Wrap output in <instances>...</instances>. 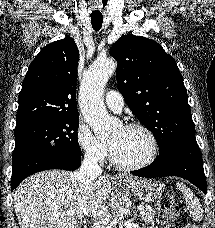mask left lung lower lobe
<instances>
[{
    "label": "left lung lower lobe",
    "instance_id": "0a47b994",
    "mask_svg": "<svg viewBox=\"0 0 215 228\" xmlns=\"http://www.w3.org/2000/svg\"><path fill=\"white\" fill-rule=\"evenodd\" d=\"M131 173L146 178L178 176L207 192L201 151L195 135L173 142L159 152V157L152 164Z\"/></svg>",
    "mask_w": 215,
    "mask_h": 228
}]
</instances>
